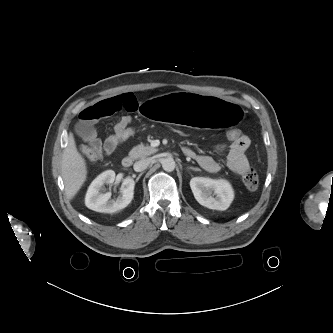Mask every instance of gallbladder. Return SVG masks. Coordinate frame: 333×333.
Masks as SVG:
<instances>
[{"label":"gallbladder","instance_id":"bac80fb5","mask_svg":"<svg viewBox=\"0 0 333 333\" xmlns=\"http://www.w3.org/2000/svg\"><path fill=\"white\" fill-rule=\"evenodd\" d=\"M93 131V128L88 124H77L75 126V132L79 136H84L90 134Z\"/></svg>","mask_w":333,"mask_h":333}]
</instances>
